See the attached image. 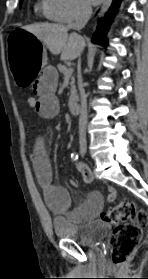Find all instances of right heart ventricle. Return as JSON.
Returning <instances> with one entry per match:
<instances>
[{
	"instance_id": "obj_1",
	"label": "right heart ventricle",
	"mask_w": 148,
	"mask_h": 279,
	"mask_svg": "<svg viewBox=\"0 0 148 279\" xmlns=\"http://www.w3.org/2000/svg\"><path fill=\"white\" fill-rule=\"evenodd\" d=\"M37 7L47 18L54 20L49 11V0H41Z\"/></svg>"
}]
</instances>
